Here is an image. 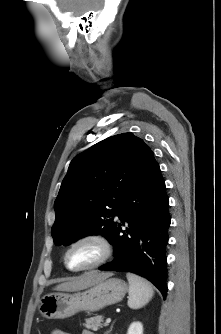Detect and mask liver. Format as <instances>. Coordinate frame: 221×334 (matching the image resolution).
Instances as JSON below:
<instances>
[{
  "mask_svg": "<svg viewBox=\"0 0 221 334\" xmlns=\"http://www.w3.org/2000/svg\"><path fill=\"white\" fill-rule=\"evenodd\" d=\"M111 276L110 273H98L96 271L87 272L72 281L57 285L54 289L57 291H78L91 287L106 277Z\"/></svg>",
  "mask_w": 221,
  "mask_h": 334,
  "instance_id": "obj_1",
  "label": "liver"
}]
</instances>
